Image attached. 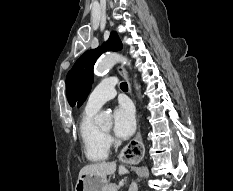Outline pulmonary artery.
<instances>
[{"mask_svg":"<svg viewBox=\"0 0 233 191\" xmlns=\"http://www.w3.org/2000/svg\"><path fill=\"white\" fill-rule=\"evenodd\" d=\"M116 82L114 77L101 81L88 97L86 110L98 111L104 103L113 99L116 95Z\"/></svg>","mask_w":233,"mask_h":191,"instance_id":"pulmonary-artery-1","label":"pulmonary artery"}]
</instances>
